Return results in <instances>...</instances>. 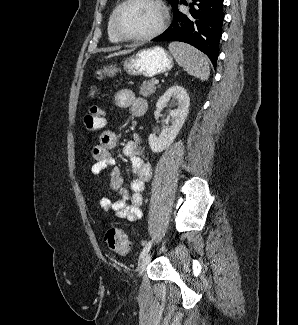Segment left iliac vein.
I'll use <instances>...</instances> for the list:
<instances>
[{
    "label": "left iliac vein",
    "instance_id": "1",
    "mask_svg": "<svg viewBox=\"0 0 298 325\" xmlns=\"http://www.w3.org/2000/svg\"><path fill=\"white\" fill-rule=\"evenodd\" d=\"M150 254L147 253L141 260V262L139 263L138 265V273H139V276H142L144 271L146 270L147 268V265L148 263L150 262Z\"/></svg>",
    "mask_w": 298,
    "mask_h": 325
}]
</instances>
